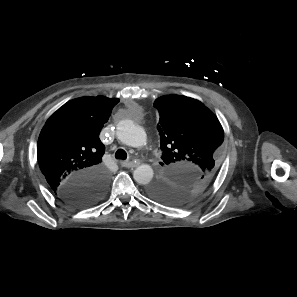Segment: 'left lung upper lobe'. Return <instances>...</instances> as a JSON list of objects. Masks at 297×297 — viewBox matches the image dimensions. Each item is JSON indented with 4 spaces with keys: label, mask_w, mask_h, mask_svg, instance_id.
I'll return each mask as SVG.
<instances>
[{
    "label": "left lung upper lobe",
    "mask_w": 297,
    "mask_h": 297,
    "mask_svg": "<svg viewBox=\"0 0 297 297\" xmlns=\"http://www.w3.org/2000/svg\"><path fill=\"white\" fill-rule=\"evenodd\" d=\"M160 119L166 174L148 187L161 202L180 206L198 197L211 185L222 164L223 128L200 101L167 95L155 100Z\"/></svg>",
    "instance_id": "5c2ea615"
}]
</instances>
